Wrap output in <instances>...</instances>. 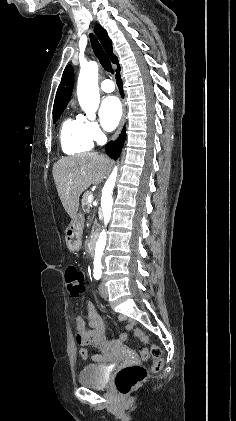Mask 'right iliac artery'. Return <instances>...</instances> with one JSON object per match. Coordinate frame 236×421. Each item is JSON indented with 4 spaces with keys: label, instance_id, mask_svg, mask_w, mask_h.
<instances>
[{
    "label": "right iliac artery",
    "instance_id": "1",
    "mask_svg": "<svg viewBox=\"0 0 236 421\" xmlns=\"http://www.w3.org/2000/svg\"><path fill=\"white\" fill-rule=\"evenodd\" d=\"M101 275H102V273H95V274H93V276H94V278L96 280H99L101 278Z\"/></svg>",
    "mask_w": 236,
    "mask_h": 421
}]
</instances>
